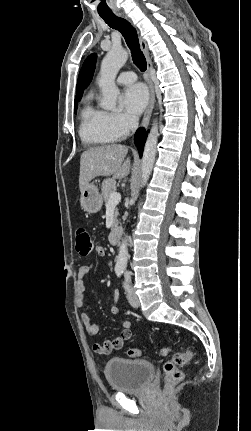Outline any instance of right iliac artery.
<instances>
[{"mask_svg":"<svg viewBox=\"0 0 251 431\" xmlns=\"http://www.w3.org/2000/svg\"><path fill=\"white\" fill-rule=\"evenodd\" d=\"M115 272H116L117 276L120 277L123 273V268L122 267H116Z\"/></svg>","mask_w":251,"mask_h":431,"instance_id":"1","label":"right iliac artery"}]
</instances>
